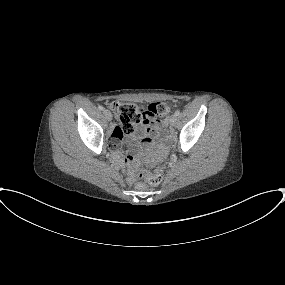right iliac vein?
<instances>
[{
	"label": "right iliac vein",
	"mask_w": 285,
	"mask_h": 285,
	"mask_svg": "<svg viewBox=\"0 0 285 285\" xmlns=\"http://www.w3.org/2000/svg\"><path fill=\"white\" fill-rule=\"evenodd\" d=\"M104 115L108 121H110L112 119V114L109 110H105Z\"/></svg>",
	"instance_id": "1"
}]
</instances>
